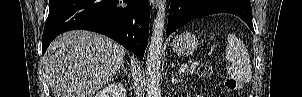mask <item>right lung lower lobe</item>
<instances>
[{"mask_svg": "<svg viewBox=\"0 0 302 97\" xmlns=\"http://www.w3.org/2000/svg\"><path fill=\"white\" fill-rule=\"evenodd\" d=\"M49 4L43 54L59 34L86 29L110 37L143 58L149 33L148 0H49Z\"/></svg>", "mask_w": 302, "mask_h": 97, "instance_id": "obj_1", "label": "right lung lower lobe"}]
</instances>
